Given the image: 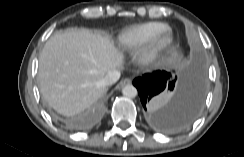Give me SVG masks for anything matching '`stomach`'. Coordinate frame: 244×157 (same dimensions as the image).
<instances>
[{
	"label": "stomach",
	"instance_id": "1",
	"mask_svg": "<svg viewBox=\"0 0 244 157\" xmlns=\"http://www.w3.org/2000/svg\"><path fill=\"white\" fill-rule=\"evenodd\" d=\"M177 54L172 48L166 49L160 56L159 66L162 68H168L176 63Z\"/></svg>",
	"mask_w": 244,
	"mask_h": 157
}]
</instances>
